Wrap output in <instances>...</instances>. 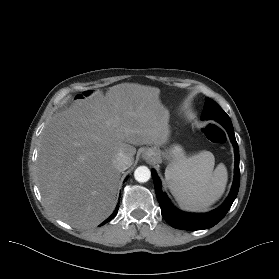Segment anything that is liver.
<instances>
[{
	"label": "liver",
	"instance_id": "liver-1",
	"mask_svg": "<svg viewBox=\"0 0 279 279\" xmlns=\"http://www.w3.org/2000/svg\"><path fill=\"white\" fill-rule=\"evenodd\" d=\"M159 95L156 87L118 84L54 114L36 161L38 187L51 214L87 229L112 212L120 180L116 156L124 153L133 162L135 146L168 141L170 114Z\"/></svg>",
	"mask_w": 279,
	"mask_h": 279
}]
</instances>
